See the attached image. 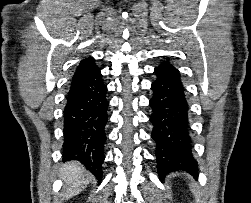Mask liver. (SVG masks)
<instances>
[{
  "mask_svg": "<svg viewBox=\"0 0 251 203\" xmlns=\"http://www.w3.org/2000/svg\"><path fill=\"white\" fill-rule=\"evenodd\" d=\"M60 177L68 186L64 193L66 199L79 194L91 180V177L86 174L84 168L77 162H68L60 170Z\"/></svg>",
  "mask_w": 251,
  "mask_h": 203,
  "instance_id": "6515ba94",
  "label": "liver"
}]
</instances>
